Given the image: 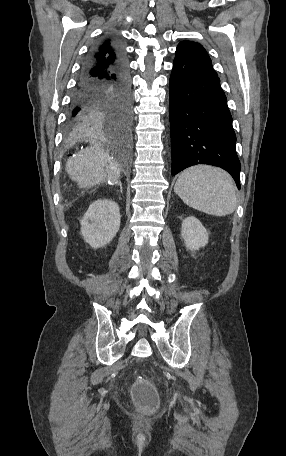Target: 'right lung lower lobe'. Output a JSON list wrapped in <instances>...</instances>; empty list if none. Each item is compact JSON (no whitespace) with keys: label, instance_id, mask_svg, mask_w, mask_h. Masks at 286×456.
<instances>
[{"label":"right lung lower lobe","instance_id":"obj_1","mask_svg":"<svg viewBox=\"0 0 286 456\" xmlns=\"http://www.w3.org/2000/svg\"><path fill=\"white\" fill-rule=\"evenodd\" d=\"M93 52L80 72L66 122L68 135L105 128L120 138L131 132L132 108L128 73L125 66L110 67L96 74ZM125 126L121 134L118 129Z\"/></svg>","mask_w":286,"mask_h":456}]
</instances>
